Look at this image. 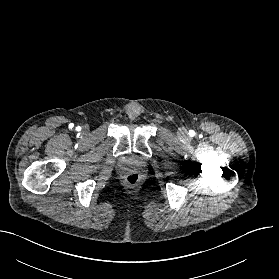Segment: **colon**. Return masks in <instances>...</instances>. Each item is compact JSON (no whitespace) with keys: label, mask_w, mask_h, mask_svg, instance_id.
I'll list each match as a JSON object with an SVG mask.
<instances>
[{"label":"colon","mask_w":279,"mask_h":279,"mask_svg":"<svg viewBox=\"0 0 279 279\" xmlns=\"http://www.w3.org/2000/svg\"><path fill=\"white\" fill-rule=\"evenodd\" d=\"M139 175L136 173H130L126 176L125 181L128 185L134 186L139 182Z\"/></svg>","instance_id":"colon-1"}]
</instances>
